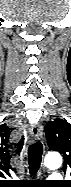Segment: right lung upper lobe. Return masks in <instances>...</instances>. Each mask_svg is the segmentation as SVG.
<instances>
[{
  "label": "right lung upper lobe",
  "instance_id": "1",
  "mask_svg": "<svg viewBox=\"0 0 71 187\" xmlns=\"http://www.w3.org/2000/svg\"><path fill=\"white\" fill-rule=\"evenodd\" d=\"M12 129L8 128L5 124L0 126V163L2 167L3 174L9 173L11 171L9 163L12 155H10L7 143L9 141L10 133ZM24 143V138H22L18 143L13 144L15 147V153L18 155L21 151Z\"/></svg>",
  "mask_w": 71,
  "mask_h": 187
}]
</instances>
